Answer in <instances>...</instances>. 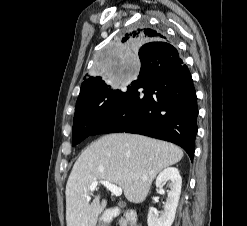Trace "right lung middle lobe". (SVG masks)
<instances>
[{
    "label": "right lung middle lobe",
    "mask_w": 247,
    "mask_h": 226,
    "mask_svg": "<svg viewBox=\"0 0 247 226\" xmlns=\"http://www.w3.org/2000/svg\"><path fill=\"white\" fill-rule=\"evenodd\" d=\"M122 95L121 90L111 89L106 82H100L96 88L78 97L73 123V146L93 134Z\"/></svg>",
    "instance_id": "obj_1"
}]
</instances>
